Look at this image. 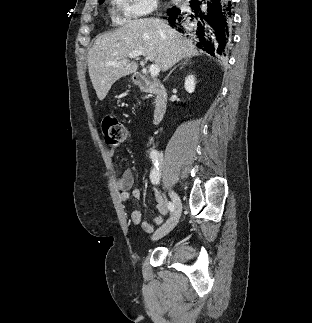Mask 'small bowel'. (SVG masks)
I'll list each match as a JSON object with an SVG mask.
<instances>
[{"label":"small bowel","mask_w":312,"mask_h":323,"mask_svg":"<svg viewBox=\"0 0 312 323\" xmlns=\"http://www.w3.org/2000/svg\"><path fill=\"white\" fill-rule=\"evenodd\" d=\"M110 155L115 154V149L109 150ZM134 175L132 171L126 170L117 179V188L120 191V199L123 203H129L131 199H139L141 192L137 188H133ZM155 206L158 211V215L152 220L142 223V228L146 232H152L155 227L160 225L163 221V217L167 214V208L163 203L159 193L154 192ZM142 220V213L139 209H134L130 214V222L133 225H139Z\"/></svg>","instance_id":"c3829d8e"}]
</instances>
